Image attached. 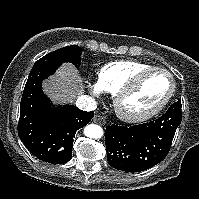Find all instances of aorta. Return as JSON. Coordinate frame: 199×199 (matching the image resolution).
I'll return each instance as SVG.
<instances>
[{
	"instance_id": "762f6f07",
	"label": "aorta",
	"mask_w": 199,
	"mask_h": 199,
	"mask_svg": "<svg viewBox=\"0 0 199 199\" xmlns=\"http://www.w3.org/2000/svg\"><path fill=\"white\" fill-rule=\"evenodd\" d=\"M84 135L89 138L98 139L103 135V129L99 125L90 124L84 128Z\"/></svg>"
}]
</instances>
